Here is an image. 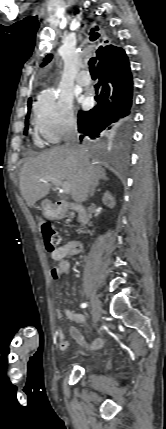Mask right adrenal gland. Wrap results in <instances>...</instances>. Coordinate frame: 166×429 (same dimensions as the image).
Wrapping results in <instances>:
<instances>
[{"mask_svg": "<svg viewBox=\"0 0 166 429\" xmlns=\"http://www.w3.org/2000/svg\"><path fill=\"white\" fill-rule=\"evenodd\" d=\"M98 180H104V181H108L109 179H108V177H106V174L105 173H103V174H101L100 175V177H99V179ZM99 185V182L97 181L93 186H92V188H91V190H90V196H93L94 195V193H95V189H96V187Z\"/></svg>", "mask_w": 166, "mask_h": 429, "instance_id": "2a0ac1e0", "label": "right adrenal gland"}]
</instances>
